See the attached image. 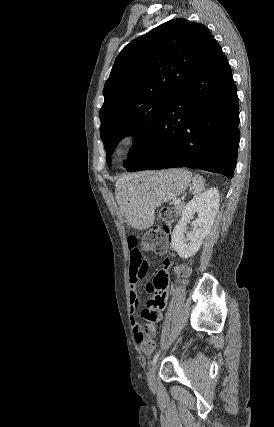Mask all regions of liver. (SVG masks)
Wrapping results in <instances>:
<instances>
[{"instance_id": "1", "label": "liver", "mask_w": 274, "mask_h": 427, "mask_svg": "<svg viewBox=\"0 0 274 427\" xmlns=\"http://www.w3.org/2000/svg\"><path fill=\"white\" fill-rule=\"evenodd\" d=\"M134 176H137V174H133V176H121V178H118L115 186H116V200L117 202H119L121 208H122V200H123V196L125 194V188L127 186V184H130V182H132V178H134ZM138 176H140V174H138ZM122 212H124V210H122Z\"/></svg>"}]
</instances>
